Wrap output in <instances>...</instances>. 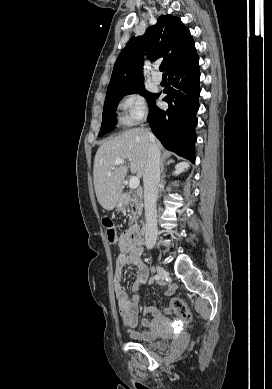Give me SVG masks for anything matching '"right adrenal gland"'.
<instances>
[{"mask_svg": "<svg viewBox=\"0 0 272 389\" xmlns=\"http://www.w3.org/2000/svg\"><path fill=\"white\" fill-rule=\"evenodd\" d=\"M174 161L172 159L168 160L167 162H165V156L163 155L162 158H161V173L164 171V168L166 165H169L171 163H173Z\"/></svg>", "mask_w": 272, "mask_h": 389, "instance_id": "2a0ac1e0", "label": "right adrenal gland"}]
</instances>
